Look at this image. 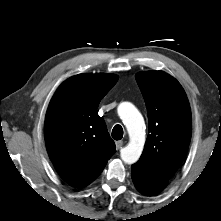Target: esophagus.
I'll return each instance as SVG.
<instances>
[{"label":"esophagus","instance_id":"esophagus-1","mask_svg":"<svg viewBox=\"0 0 221 221\" xmlns=\"http://www.w3.org/2000/svg\"><path fill=\"white\" fill-rule=\"evenodd\" d=\"M123 146V141H117L116 142V149H120Z\"/></svg>","mask_w":221,"mask_h":221}]
</instances>
